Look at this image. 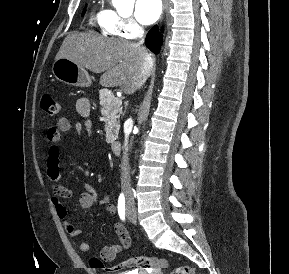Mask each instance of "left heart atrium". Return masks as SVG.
I'll return each mask as SVG.
<instances>
[{
    "instance_id": "39dd6f15",
    "label": "left heart atrium",
    "mask_w": 289,
    "mask_h": 274,
    "mask_svg": "<svg viewBox=\"0 0 289 274\" xmlns=\"http://www.w3.org/2000/svg\"><path fill=\"white\" fill-rule=\"evenodd\" d=\"M161 0H137L135 5V16L137 20L144 24L154 23L161 15Z\"/></svg>"
}]
</instances>
